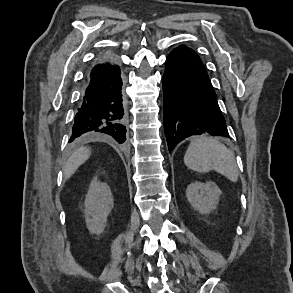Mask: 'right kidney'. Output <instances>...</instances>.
I'll use <instances>...</instances> for the list:
<instances>
[{
	"mask_svg": "<svg viewBox=\"0 0 293 293\" xmlns=\"http://www.w3.org/2000/svg\"><path fill=\"white\" fill-rule=\"evenodd\" d=\"M114 206V199L109 186L94 179L85 198V219L90 233L101 234L107 217Z\"/></svg>",
	"mask_w": 293,
	"mask_h": 293,
	"instance_id": "obj_1",
	"label": "right kidney"
}]
</instances>
